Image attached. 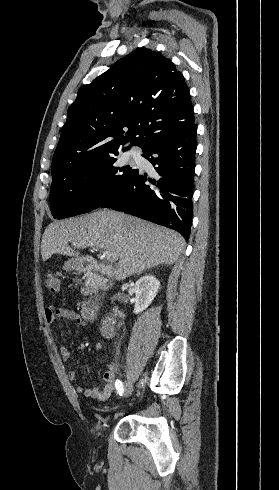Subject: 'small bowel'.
Instances as JSON below:
<instances>
[{
  "mask_svg": "<svg viewBox=\"0 0 279 490\" xmlns=\"http://www.w3.org/2000/svg\"><path fill=\"white\" fill-rule=\"evenodd\" d=\"M44 319L48 326L60 320H67L75 324H82L84 322V318L79 312L71 309L55 307H49L45 309ZM95 349L97 352L104 353L110 356L112 359V361L108 365L107 371L103 374L104 384L103 386H95L92 388H85L83 385H77L75 390L76 393L82 394L87 398L104 400L105 398L109 397L114 390L116 360L113 353L104 345L97 344L95 346ZM59 352L63 360L67 361L71 358V351L68 347L61 346ZM80 364V361H76L73 367L69 370L68 378L70 380L76 379Z\"/></svg>",
  "mask_w": 279,
  "mask_h": 490,
  "instance_id": "1",
  "label": "small bowel"
}]
</instances>
